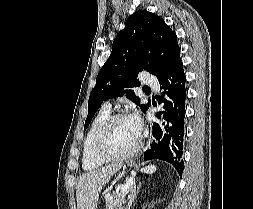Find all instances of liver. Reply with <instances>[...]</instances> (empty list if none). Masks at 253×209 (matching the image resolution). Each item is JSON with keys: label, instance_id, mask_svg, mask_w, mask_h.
<instances>
[{"label": "liver", "instance_id": "6515ba94", "mask_svg": "<svg viewBox=\"0 0 253 209\" xmlns=\"http://www.w3.org/2000/svg\"><path fill=\"white\" fill-rule=\"evenodd\" d=\"M121 165H108L81 175L76 184L77 209H96L99 193Z\"/></svg>", "mask_w": 253, "mask_h": 209}]
</instances>
